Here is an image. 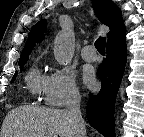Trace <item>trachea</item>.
Masks as SVG:
<instances>
[{
  "label": "trachea",
  "instance_id": "1",
  "mask_svg": "<svg viewBox=\"0 0 144 137\" xmlns=\"http://www.w3.org/2000/svg\"><path fill=\"white\" fill-rule=\"evenodd\" d=\"M105 45H106L105 37H99L95 42V47L101 54H105Z\"/></svg>",
  "mask_w": 144,
  "mask_h": 137
}]
</instances>
